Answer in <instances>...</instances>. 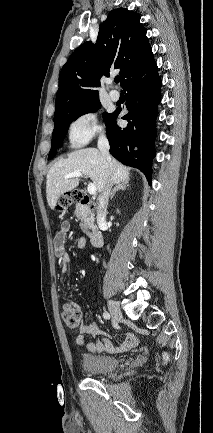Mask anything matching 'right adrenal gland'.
Masks as SVG:
<instances>
[{
  "label": "right adrenal gland",
  "instance_id": "obj_1",
  "mask_svg": "<svg viewBox=\"0 0 213 433\" xmlns=\"http://www.w3.org/2000/svg\"><path fill=\"white\" fill-rule=\"evenodd\" d=\"M128 186H129L128 182H122V183L117 184L116 187L114 188L113 192L110 194L109 200L113 199V197L115 196L117 191L126 190Z\"/></svg>",
  "mask_w": 213,
  "mask_h": 433
}]
</instances>
